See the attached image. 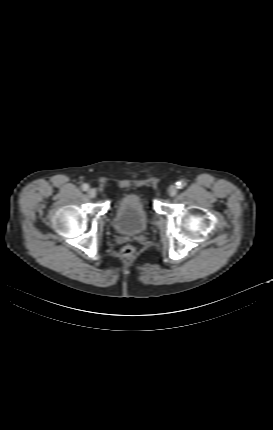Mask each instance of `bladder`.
<instances>
[{"mask_svg":"<svg viewBox=\"0 0 273 430\" xmlns=\"http://www.w3.org/2000/svg\"><path fill=\"white\" fill-rule=\"evenodd\" d=\"M112 224L123 235L144 233L148 228L149 216L143 199L138 194L124 195L114 207Z\"/></svg>","mask_w":273,"mask_h":430,"instance_id":"31cf9c89","label":"bladder"}]
</instances>
